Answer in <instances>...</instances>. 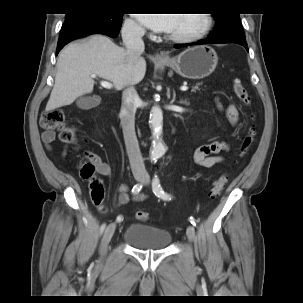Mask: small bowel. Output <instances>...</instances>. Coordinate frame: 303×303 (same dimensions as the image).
<instances>
[{"label":"small bowel","instance_id":"obj_1","mask_svg":"<svg viewBox=\"0 0 303 303\" xmlns=\"http://www.w3.org/2000/svg\"><path fill=\"white\" fill-rule=\"evenodd\" d=\"M226 115L228 120L232 125H235L239 120V113L238 110L234 105H230L226 111ZM56 138V132L54 130H46L42 134V140L45 148L47 150L52 149V143ZM229 150V144L225 141L214 140L209 142L206 145L199 146L196 148L193 154V161L195 164L205 167L211 168L219 163L224 161V157L220 155ZM68 154L67 147H63L61 151V156L63 159L66 158ZM99 172L104 175L105 177H109L111 174V167L102 161H98L97 163ZM144 198L143 194H134L130 196L128 194V186L122 185L119 188V201L120 203L124 204L131 200L139 201Z\"/></svg>","mask_w":303,"mask_h":303}]
</instances>
